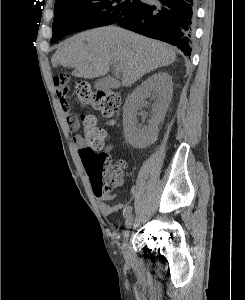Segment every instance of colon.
I'll return each mask as SVG.
<instances>
[{"label":"colon","instance_id":"obj_1","mask_svg":"<svg viewBox=\"0 0 245 300\" xmlns=\"http://www.w3.org/2000/svg\"><path fill=\"white\" fill-rule=\"evenodd\" d=\"M57 91L66 94L70 89L69 77L61 74L54 77ZM77 101L82 105H90L106 118H112L120 104L119 95L110 89L93 90L85 81L73 85ZM83 138L86 145L79 149L84 167L90 177L93 190L98 195L108 194L122 181V164H110L109 159L99 153L104 144V131L98 126L95 116L87 114L81 117Z\"/></svg>","mask_w":245,"mask_h":300}]
</instances>
